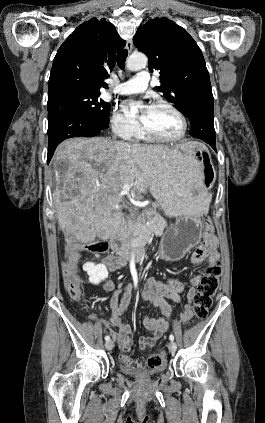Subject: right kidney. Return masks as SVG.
<instances>
[{"instance_id":"obj_1","label":"right kidney","mask_w":265,"mask_h":423,"mask_svg":"<svg viewBox=\"0 0 265 423\" xmlns=\"http://www.w3.org/2000/svg\"><path fill=\"white\" fill-rule=\"evenodd\" d=\"M83 270L89 276V282L94 285L100 284L108 277V270L104 264H95L87 262L83 265Z\"/></svg>"}]
</instances>
